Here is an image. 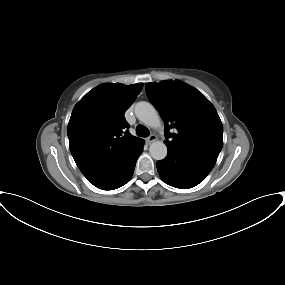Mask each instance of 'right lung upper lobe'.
Wrapping results in <instances>:
<instances>
[{"label": "right lung upper lobe", "instance_id": "obj_1", "mask_svg": "<svg viewBox=\"0 0 285 285\" xmlns=\"http://www.w3.org/2000/svg\"><path fill=\"white\" fill-rule=\"evenodd\" d=\"M143 84H102L74 107L67 128L71 154L88 178L116 161L142 139L132 136L124 114Z\"/></svg>", "mask_w": 285, "mask_h": 285}]
</instances>
